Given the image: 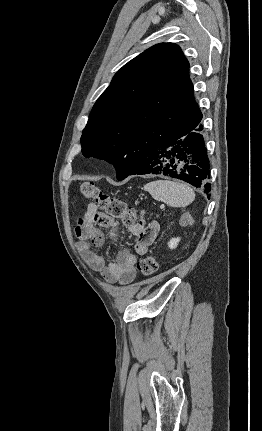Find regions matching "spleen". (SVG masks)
<instances>
[{
  "label": "spleen",
  "instance_id": "spleen-1",
  "mask_svg": "<svg viewBox=\"0 0 262 431\" xmlns=\"http://www.w3.org/2000/svg\"><path fill=\"white\" fill-rule=\"evenodd\" d=\"M144 189L158 201L165 202L172 207H185L195 199L193 189L186 183L170 180H156L147 183Z\"/></svg>",
  "mask_w": 262,
  "mask_h": 431
}]
</instances>
